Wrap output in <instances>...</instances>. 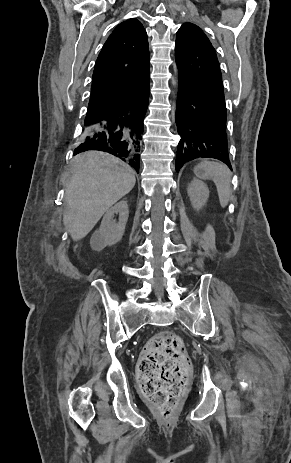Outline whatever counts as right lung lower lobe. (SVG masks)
I'll return each instance as SVG.
<instances>
[{
	"label": "right lung lower lobe",
	"mask_w": 291,
	"mask_h": 463,
	"mask_svg": "<svg viewBox=\"0 0 291 463\" xmlns=\"http://www.w3.org/2000/svg\"><path fill=\"white\" fill-rule=\"evenodd\" d=\"M149 101V85L128 96L122 104L90 123H84L82 143L75 155L99 150L121 158L139 172L143 120Z\"/></svg>",
	"instance_id": "1"
}]
</instances>
